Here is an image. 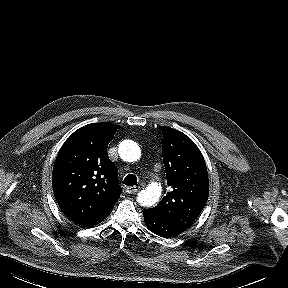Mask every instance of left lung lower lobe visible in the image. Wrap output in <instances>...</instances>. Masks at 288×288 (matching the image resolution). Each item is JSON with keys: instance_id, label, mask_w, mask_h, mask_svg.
Returning <instances> with one entry per match:
<instances>
[{"instance_id": "0a47b994", "label": "left lung lower lobe", "mask_w": 288, "mask_h": 288, "mask_svg": "<svg viewBox=\"0 0 288 288\" xmlns=\"http://www.w3.org/2000/svg\"><path fill=\"white\" fill-rule=\"evenodd\" d=\"M143 215L147 228L161 237L171 238L181 234L185 230L154 215L150 209H144Z\"/></svg>"}]
</instances>
